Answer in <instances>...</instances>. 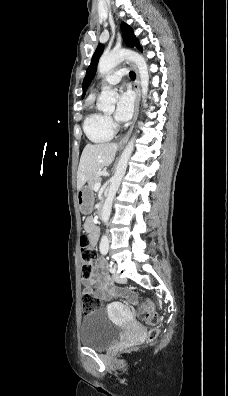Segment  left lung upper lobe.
<instances>
[{
    "label": "left lung upper lobe",
    "mask_w": 228,
    "mask_h": 396,
    "mask_svg": "<svg viewBox=\"0 0 228 396\" xmlns=\"http://www.w3.org/2000/svg\"><path fill=\"white\" fill-rule=\"evenodd\" d=\"M121 31H122V34H123L124 42L128 46H130V47L136 46L139 50H142V47L139 45V42H138L137 38L134 36L132 28L129 25H127L125 23H122L121 24ZM102 52H103V45L99 44L97 49H96V51H95V53H94V55H93V57H92L91 63L89 65L88 69H87V73H86V76H85L84 81H83V86H82L83 94H82V97H84L88 86L90 85L92 79L95 76L98 60H99V57L101 56Z\"/></svg>",
    "instance_id": "1"
}]
</instances>
